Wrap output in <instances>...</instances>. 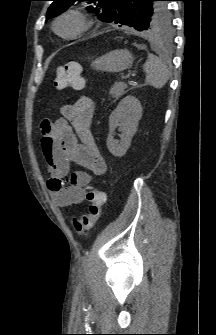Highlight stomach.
<instances>
[{"label": "stomach", "mask_w": 216, "mask_h": 335, "mask_svg": "<svg viewBox=\"0 0 216 335\" xmlns=\"http://www.w3.org/2000/svg\"><path fill=\"white\" fill-rule=\"evenodd\" d=\"M134 61V57L128 50H113L91 63V67L97 71L117 73L129 68Z\"/></svg>", "instance_id": "obj_1"}]
</instances>
